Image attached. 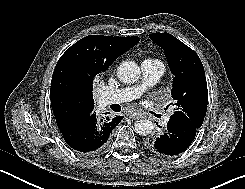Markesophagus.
I'll return each mask as SVG.
<instances>
[{"label":"esophagus","mask_w":245,"mask_h":189,"mask_svg":"<svg viewBox=\"0 0 245 189\" xmlns=\"http://www.w3.org/2000/svg\"><path fill=\"white\" fill-rule=\"evenodd\" d=\"M128 116L131 119H138L140 117L139 113L136 112V111H133V112L129 113Z\"/></svg>","instance_id":"obj_1"}]
</instances>
